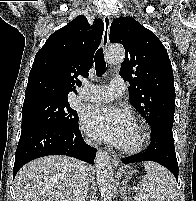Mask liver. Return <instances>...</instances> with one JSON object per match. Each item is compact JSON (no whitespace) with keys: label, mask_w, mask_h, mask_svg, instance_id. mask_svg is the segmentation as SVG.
Masks as SVG:
<instances>
[{"label":"liver","mask_w":196,"mask_h":201,"mask_svg":"<svg viewBox=\"0 0 196 201\" xmlns=\"http://www.w3.org/2000/svg\"><path fill=\"white\" fill-rule=\"evenodd\" d=\"M78 160L51 155L24 165L14 180L15 201H72ZM88 175L91 166H86Z\"/></svg>","instance_id":"1"}]
</instances>
